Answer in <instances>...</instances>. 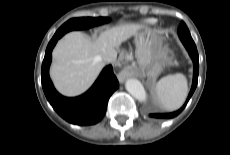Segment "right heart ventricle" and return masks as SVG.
<instances>
[{
    "mask_svg": "<svg viewBox=\"0 0 230 155\" xmlns=\"http://www.w3.org/2000/svg\"><path fill=\"white\" fill-rule=\"evenodd\" d=\"M147 24L151 25V24H154L155 23V20L153 19H149L146 21Z\"/></svg>",
    "mask_w": 230,
    "mask_h": 155,
    "instance_id": "1",
    "label": "right heart ventricle"
}]
</instances>
